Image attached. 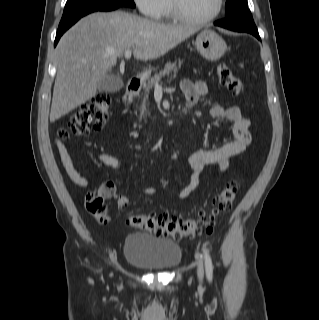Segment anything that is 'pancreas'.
<instances>
[{
  "label": "pancreas",
  "mask_w": 319,
  "mask_h": 320,
  "mask_svg": "<svg viewBox=\"0 0 319 320\" xmlns=\"http://www.w3.org/2000/svg\"><path fill=\"white\" fill-rule=\"evenodd\" d=\"M180 66H181L180 61L178 62V65H177V61H175L173 63H167L163 70H161L159 73H156L154 75V77H152L151 79H149L147 82L144 83V85H143L144 95H142V97H141V99H142V102H141L142 113L147 112L146 106L149 105V93L153 89V87H155L156 83H159V81L161 80L162 77L169 75L171 72L176 74L178 72V69L180 68Z\"/></svg>",
  "instance_id": "1"
}]
</instances>
